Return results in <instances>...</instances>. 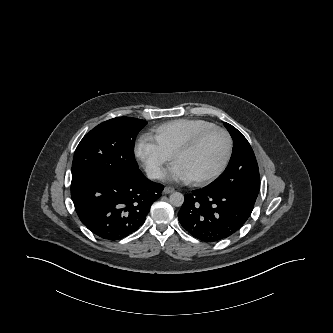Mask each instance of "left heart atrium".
<instances>
[{"label": "left heart atrium", "mask_w": 333, "mask_h": 333, "mask_svg": "<svg viewBox=\"0 0 333 333\" xmlns=\"http://www.w3.org/2000/svg\"><path fill=\"white\" fill-rule=\"evenodd\" d=\"M169 177L176 181H187L191 179L183 168L177 163H174L170 168Z\"/></svg>", "instance_id": "39dd6f15"}]
</instances>
